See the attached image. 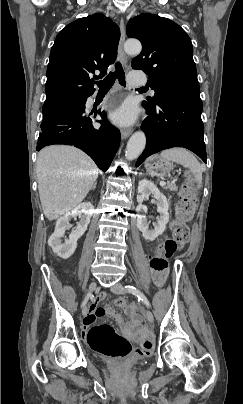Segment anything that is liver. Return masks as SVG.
Masks as SVG:
<instances>
[{"mask_svg": "<svg viewBox=\"0 0 243 404\" xmlns=\"http://www.w3.org/2000/svg\"><path fill=\"white\" fill-rule=\"evenodd\" d=\"M36 172L40 202L48 220H57L79 206L99 174L93 160L73 146L43 148Z\"/></svg>", "mask_w": 243, "mask_h": 404, "instance_id": "obj_1", "label": "liver"}]
</instances>
